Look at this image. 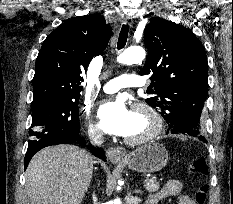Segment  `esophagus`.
<instances>
[{"instance_id":"esophagus-1","label":"esophagus","mask_w":233,"mask_h":204,"mask_svg":"<svg viewBox=\"0 0 233 204\" xmlns=\"http://www.w3.org/2000/svg\"><path fill=\"white\" fill-rule=\"evenodd\" d=\"M124 23L132 26L133 20L131 17H126L124 19ZM106 156L107 158L112 162H118L125 158L126 156V150L123 147H109L106 150Z\"/></svg>"}]
</instances>
